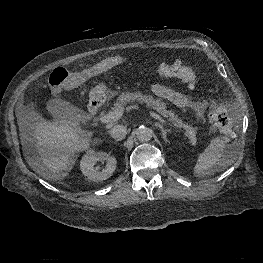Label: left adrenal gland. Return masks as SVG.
Instances as JSON below:
<instances>
[{
    "mask_svg": "<svg viewBox=\"0 0 263 263\" xmlns=\"http://www.w3.org/2000/svg\"><path fill=\"white\" fill-rule=\"evenodd\" d=\"M155 126L159 127L161 129L162 137L165 140V142L167 143L168 142V140H167V133L169 132V129H165L163 127V125H161L160 123H156Z\"/></svg>",
    "mask_w": 263,
    "mask_h": 263,
    "instance_id": "obj_1",
    "label": "left adrenal gland"
}]
</instances>
